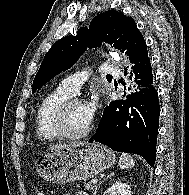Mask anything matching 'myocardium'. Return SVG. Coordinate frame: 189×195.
<instances>
[{
    "instance_id": "obj_1",
    "label": "myocardium",
    "mask_w": 189,
    "mask_h": 195,
    "mask_svg": "<svg viewBox=\"0 0 189 195\" xmlns=\"http://www.w3.org/2000/svg\"><path fill=\"white\" fill-rule=\"evenodd\" d=\"M83 100L78 97H70L64 100L54 111L52 117V126L60 138L67 140H79L83 139L90 134L93 129V120L90 121L89 125L80 133L72 134L68 132L65 126V119L68 111L71 107L76 104H82Z\"/></svg>"
}]
</instances>
